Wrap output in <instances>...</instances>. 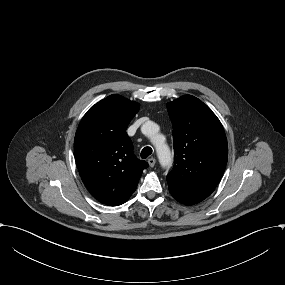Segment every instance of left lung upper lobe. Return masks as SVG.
Masks as SVG:
<instances>
[{"instance_id": "1", "label": "left lung upper lobe", "mask_w": 285, "mask_h": 285, "mask_svg": "<svg viewBox=\"0 0 285 285\" xmlns=\"http://www.w3.org/2000/svg\"><path fill=\"white\" fill-rule=\"evenodd\" d=\"M173 125L174 169L167 176L169 191L181 203L196 204L219 183L228 159L222 124L198 98L185 95L167 103Z\"/></svg>"}]
</instances>
